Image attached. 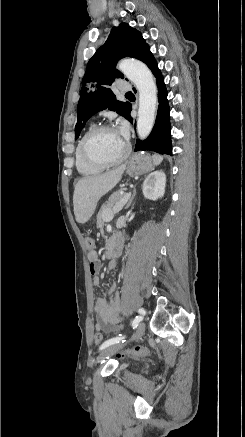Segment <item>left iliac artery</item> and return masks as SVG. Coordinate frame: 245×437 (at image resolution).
<instances>
[{"label": "left iliac artery", "mask_w": 245, "mask_h": 437, "mask_svg": "<svg viewBox=\"0 0 245 437\" xmlns=\"http://www.w3.org/2000/svg\"><path fill=\"white\" fill-rule=\"evenodd\" d=\"M138 312H139L141 315H145V313H146V311H145L144 308H140V309L138 310ZM141 320H142V317H141V316L136 317V319L134 320L133 323H136V324H137V323H139ZM124 338H125V336H122V335H119V336H117V337L111 338V339L105 341V342L100 346V350H103V349H105V348H107V347H109V346H111V345H113V344L119 343L120 341L124 342Z\"/></svg>", "instance_id": "44dca946"}]
</instances>
